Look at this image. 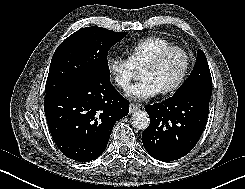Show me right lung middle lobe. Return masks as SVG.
<instances>
[{"instance_id":"right-lung-middle-lobe-1","label":"right lung middle lobe","mask_w":245,"mask_h":189,"mask_svg":"<svg viewBox=\"0 0 245 189\" xmlns=\"http://www.w3.org/2000/svg\"><path fill=\"white\" fill-rule=\"evenodd\" d=\"M126 35L95 26L70 35L52 57L45 93L77 86L97 75L110 76L108 50Z\"/></svg>"}]
</instances>
